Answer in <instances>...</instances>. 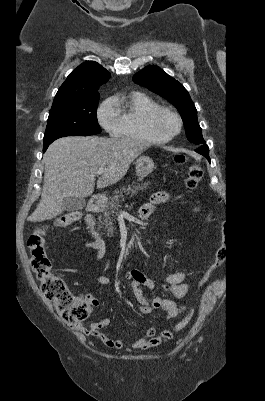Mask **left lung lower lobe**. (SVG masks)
I'll use <instances>...</instances> for the list:
<instances>
[{
    "instance_id": "left-lung-lower-lobe-1",
    "label": "left lung lower lobe",
    "mask_w": 265,
    "mask_h": 401,
    "mask_svg": "<svg viewBox=\"0 0 265 401\" xmlns=\"http://www.w3.org/2000/svg\"><path fill=\"white\" fill-rule=\"evenodd\" d=\"M196 152L202 154L203 156H205L209 161V149L207 145H203L201 146L199 149L196 150Z\"/></svg>"
}]
</instances>
